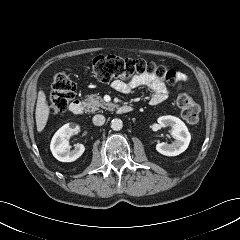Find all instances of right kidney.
<instances>
[{
    "instance_id": "right-kidney-1",
    "label": "right kidney",
    "mask_w": 240,
    "mask_h": 240,
    "mask_svg": "<svg viewBox=\"0 0 240 240\" xmlns=\"http://www.w3.org/2000/svg\"><path fill=\"white\" fill-rule=\"evenodd\" d=\"M79 132V127L74 123L63 125L53 136L50 144V150L53 156L61 162H73L77 160L85 151L83 144H76L73 150H70L68 138Z\"/></svg>"
}]
</instances>
